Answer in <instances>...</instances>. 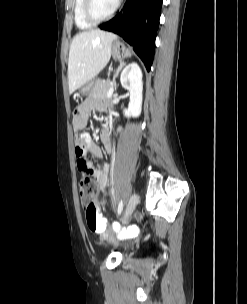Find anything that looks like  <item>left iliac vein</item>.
<instances>
[{
	"label": "left iliac vein",
	"instance_id": "left-iliac-vein-1",
	"mask_svg": "<svg viewBox=\"0 0 247 304\" xmlns=\"http://www.w3.org/2000/svg\"><path fill=\"white\" fill-rule=\"evenodd\" d=\"M137 201H138V196L136 193H133L128 201L127 207L122 217L123 224H126L130 220L131 215L137 205Z\"/></svg>",
	"mask_w": 247,
	"mask_h": 304
}]
</instances>
